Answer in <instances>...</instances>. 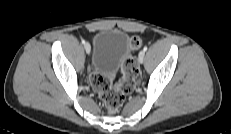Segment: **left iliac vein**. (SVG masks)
<instances>
[{
    "label": "left iliac vein",
    "mask_w": 231,
    "mask_h": 134,
    "mask_svg": "<svg viewBox=\"0 0 231 134\" xmlns=\"http://www.w3.org/2000/svg\"><path fill=\"white\" fill-rule=\"evenodd\" d=\"M144 57H145V52L142 50V51H140V53L138 55V61H139V63H143Z\"/></svg>",
    "instance_id": "4c4485c4"
}]
</instances>
